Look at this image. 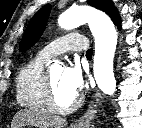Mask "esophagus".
I'll list each match as a JSON object with an SVG mask.
<instances>
[{
  "label": "esophagus",
  "mask_w": 142,
  "mask_h": 128,
  "mask_svg": "<svg viewBox=\"0 0 142 128\" xmlns=\"http://www.w3.org/2000/svg\"><path fill=\"white\" fill-rule=\"evenodd\" d=\"M102 99L101 92L95 89L91 95L86 112L73 123V128H87L98 111Z\"/></svg>",
  "instance_id": "esophagus-1"
}]
</instances>
